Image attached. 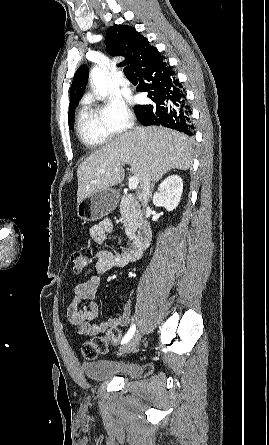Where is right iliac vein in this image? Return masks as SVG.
I'll list each match as a JSON object with an SVG mask.
<instances>
[{
    "label": "right iliac vein",
    "mask_w": 269,
    "mask_h": 445,
    "mask_svg": "<svg viewBox=\"0 0 269 445\" xmlns=\"http://www.w3.org/2000/svg\"><path fill=\"white\" fill-rule=\"evenodd\" d=\"M141 335L136 333L121 349V353L126 354L133 351L139 344Z\"/></svg>",
    "instance_id": "obj_1"
}]
</instances>
